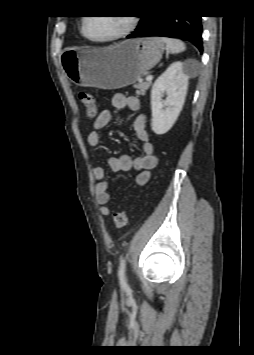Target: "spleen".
Segmentation results:
<instances>
[{
	"instance_id": "obj_1",
	"label": "spleen",
	"mask_w": 254,
	"mask_h": 355,
	"mask_svg": "<svg viewBox=\"0 0 254 355\" xmlns=\"http://www.w3.org/2000/svg\"><path fill=\"white\" fill-rule=\"evenodd\" d=\"M162 41L166 44L167 49L172 54L183 52L186 49L185 44L178 39L163 37Z\"/></svg>"
}]
</instances>
